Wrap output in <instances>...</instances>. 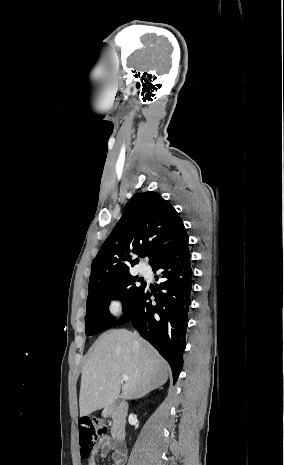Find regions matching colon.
I'll return each mask as SVG.
<instances>
[{
    "label": "colon",
    "instance_id": "colon-1",
    "mask_svg": "<svg viewBox=\"0 0 284 465\" xmlns=\"http://www.w3.org/2000/svg\"><path fill=\"white\" fill-rule=\"evenodd\" d=\"M80 436V457L87 460L91 456L94 443L102 438L103 428H98L94 422L80 423L78 426Z\"/></svg>",
    "mask_w": 284,
    "mask_h": 465
}]
</instances>
